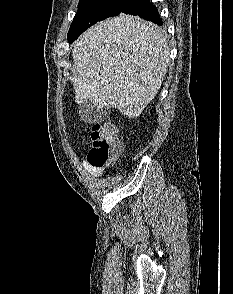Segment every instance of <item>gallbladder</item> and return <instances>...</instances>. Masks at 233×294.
<instances>
[{"label":"gallbladder","mask_w":233,"mask_h":294,"mask_svg":"<svg viewBox=\"0 0 233 294\" xmlns=\"http://www.w3.org/2000/svg\"><path fill=\"white\" fill-rule=\"evenodd\" d=\"M79 109H80V115L84 120H86L88 122L97 120L96 110L92 106L90 101H87V102H84L83 104H81Z\"/></svg>","instance_id":"1"}]
</instances>
